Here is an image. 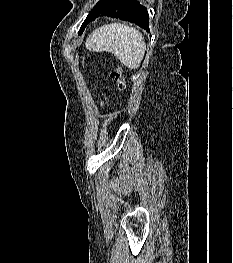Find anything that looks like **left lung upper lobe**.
<instances>
[{"instance_id":"obj_1","label":"left lung upper lobe","mask_w":233,"mask_h":263,"mask_svg":"<svg viewBox=\"0 0 233 263\" xmlns=\"http://www.w3.org/2000/svg\"><path fill=\"white\" fill-rule=\"evenodd\" d=\"M117 0H100L95 7L92 9V11L89 13V15L86 17L84 23L82 24L79 34L83 32V30L85 29L86 25L89 22V19L91 16L103 12L106 8H108L110 5H112L113 3H115Z\"/></svg>"}]
</instances>
